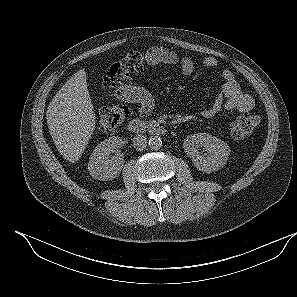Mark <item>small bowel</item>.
Masks as SVG:
<instances>
[{"label": "small bowel", "instance_id": "c3829d8e", "mask_svg": "<svg viewBox=\"0 0 297 297\" xmlns=\"http://www.w3.org/2000/svg\"><path fill=\"white\" fill-rule=\"evenodd\" d=\"M146 62L149 65H168L180 69L184 75H190L195 69L193 60L186 56H179L175 52L163 47H151L145 52ZM208 68H216L219 62L214 57H206L202 61ZM223 84L220 94L215 101L202 111L206 118H212L222 110H237L248 112L254 107V99L241 90L240 85L230 70L222 72ZM115 97L125 103H136L139 105V112L143 116L149 115L154 108V101L151 93L143 87L134 84H125L115 94Z\"/></svg>", "mask_w": 297, "mask_h": 297}]
</instances>
